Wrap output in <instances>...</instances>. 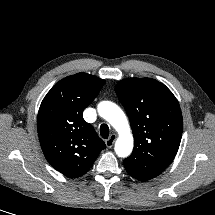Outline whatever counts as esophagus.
Returning <instances> with one entry per match:
<instances>
[{
	"label": "esophagus",
	"mask_w": 215,
	"mask_h": 215,
	"mask_svg": "<svg viewBox=\"0 0 215 215\" xmlns=\"http://www.w3.org/2000/svg\"><path fill=\"white\" fill-rule=\"evenodd\" d=\"M115 140H116V135H115V134H112V135L105 141L106 146H107L108 148H111V147L113 146Z\"/></svg>",
	"instance_id": "obj_1"
}]
</instances>
